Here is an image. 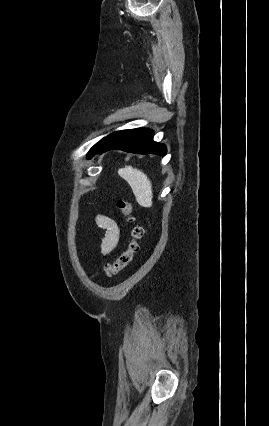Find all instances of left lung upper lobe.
<instances>
[{
    "instance_id": "5c2ea615",
    "label": "left lung upper lobe",
    "mask_w": 269,
    "mask_h": 426,
    "mask_svg": "<svg viewBox=\"0 0 269 426\" xmlns=\"http://www.w3.org/2000/svg\"><path fill=\"white\" fill-rule=\"evenodd\" d=\"M104 139V138H103ZM103 139L102 140H100L97 144H95L91 149H90V151H89V153H88V155L87 156H89L90 155V153L92 152V150L94 149V148H96L102 141H103Z\"/></svg>"
}]
</instances>
